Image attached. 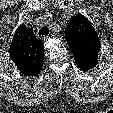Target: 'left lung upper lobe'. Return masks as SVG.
<instances>
[{
  "mask_svg": "<svg viewBox=\"0 0 113 113\" xmlns=\"http://www.w3.org/2000/svg\"><path fill=\"white\" fill-rule=\"evenodd\" d=\"M65 39L81 70L88 71L97 65L100 41L85 16L78 14L70 20L65 28Z\"/></svg>",
  "mask_w": 113,
  "mask_h": 113,
  "instance_id": "left-lung-upper-lobe-1",
  "label": "left lung upper lobe"
}]
</instances>
